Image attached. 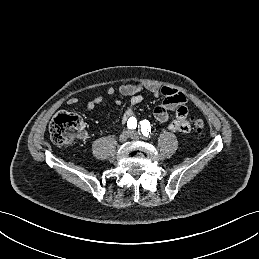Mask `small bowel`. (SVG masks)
<instances>
[{"label": "small bowel", "instance_id": "small-bowel-1", "mask_svg": "<svg viewBox=\"0 0 259 259\" xmlns=\"http://www.w3.org/2000/svg\"><path fill=\"white\" fill-rule=\"evenodd\" d=\"M117 91L123 95L130 97V107L123 114V121L126 122L134 115V107L143 101V91H148L154 96H163V101L154 108L153 114L158 122L165 123L169 120V112L175 111L174 119L168 124V129L173 132L187 133L191 130V124L187 120L188 109L186 103L188 97L185 93L178 91L171 86H156L154 84L144 83H126L121 84ZM115 93L114 88L107 90V95L112 96ZM76 98H71L69 104L77 103ZM103 101L102 96H97L87 103V110L92 111ZM80 138H86L87 132L81 131Z\"/></svg>", "mask_w": 259, "mask_h": 259}]
</instances>
